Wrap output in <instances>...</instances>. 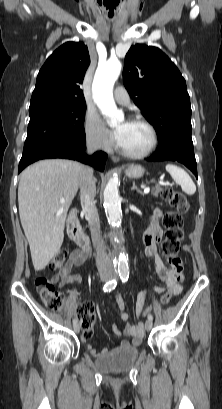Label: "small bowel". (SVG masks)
Segmentation results:
<instances>
[{
	"mask_svg": "<svg viewBox=\"0 0 222 409\" xmlns=\"http://www.w3.org/2000/svg\"><path fill=\"white\" fill-rule=\"evenodd\" d=\"M162 216V211L158 208L153 210L152 220L145 230L143 241L145 255L154 259L155 269L159 277L165 282L166 289L172 293V295H178L182 291L181 283L183 281L182 256H169L168 263L170 267L166 266L162 258L158 253L157 244L160 242L163 236V231L157 224V220ZM87 259V254L80 250H73L68 258L66 265L59 270V272L53 276L52 282L57 284L60 288L68 284L80 283L81 279L77 275L71 274V270L75 266L81 265ZM165 290L164 286H156L153 288V292L162 293ZM150 292H140L135 299V312L137 317H140L147 307V296ZM91 306V305H90ZM114 306L118 309L119 318L127 322L124 330L113 325L112 329L116 336L124 335L129 340H124L120 343L119 347L136 346L139 345L144 333L142 322L137 324L128 323L129 314L126 311V303L124 298L117 294L114 299ZM92 307V306H91ZM92 356H104L110 351L108 348H103L98 351L93 347H89Z\"/></svg>",
	"mask_w": 222,
	"mask_h": 409,
	"instance_id": "1",
	"label": "small bowel"
}]
</instances>
